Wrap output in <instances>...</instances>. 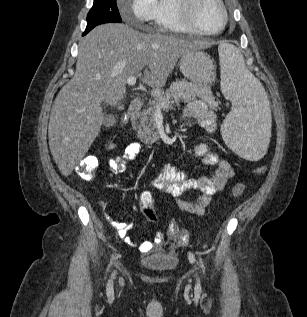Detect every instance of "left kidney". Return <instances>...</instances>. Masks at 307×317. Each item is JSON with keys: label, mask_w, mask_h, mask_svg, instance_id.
<instances>
[{"label": "left kidney", "mask_w": 307, "mask_h": 317, "mask_svg": "<svg viewBox=\"0 0 307 317\" xmlns=\"http://www.w3.org/2000/svg\"><path fill=\"white\" fill-rule=\"evenodd\" d=\"M208 151L207 146L205 144H201L200 146L195 147L196 156H203Z\"/></svg>", "instance_id": "1"}]
</instances>
